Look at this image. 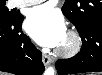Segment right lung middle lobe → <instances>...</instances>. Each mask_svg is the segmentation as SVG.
Returning a JSON list of instances; mask_svg holds the SVG:
<instances>
[{"mask_svg":"<svg viewBox=\"0 0 102 75\" xmlns=\"http://www.w3.org/2000/svg\"><path fill=\"white\" fill-rule=\"evenodd\" d=\"M14 16L7 7L5 6V1H0V19L2 20H9Z\"/></svg>","mask_w":102,"mask_h":75,"instance_id":"dd1d6c3e","label":"right lung middle lobe"}]
</instances>
